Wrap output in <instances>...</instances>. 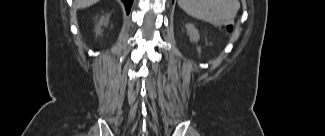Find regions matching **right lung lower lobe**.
I'll use <instances>...</instances> for the list:
<instances>
[{
  "label": "right lung lower lobe",
  "instance_id": "obj_1",
  "mask_svg": "<svg viewBox=\"0 0 325 136\" xmlns=\"http://www.w3.org/2000/svg\"><path fill=\"white\" fill-rule=\"evenodd\" d=\"M122 1H123L124 5H125L126 12L128 14L130 12L133 0H122Z\"/></svg>",
  "mask_w": 325,
  "mask_h": 136
}]
</instances>
